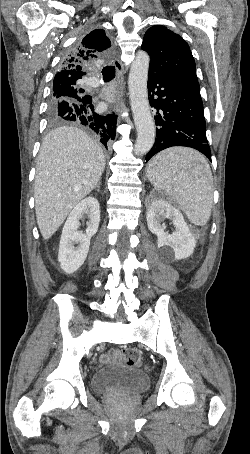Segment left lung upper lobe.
<instances>
[{"label": "left lung upper lobe", "mask_w": 250, "mask_h": 454, "mask_svg": "<svg viewBox=\"0 0 250 454\" xmlns=\"http://www.w3.org/2000/svg\"><path fill=\"white\" fill-rule=\"evenodd\" d=\"M141 47L150 56L149 71L197 81L194 58L180 35L164 26H152L145 33Z\"/></svg>", "instance_id": "5c2ea615"}]
</instances>
